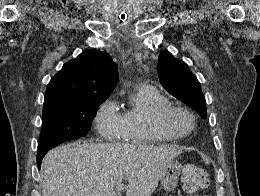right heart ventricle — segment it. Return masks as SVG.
<instances>
[{
	"instance_id": "1",
	"label": "right heart ventricle",
	"mask_w": 260,
	"mask_h": 196,
	"mask_svg": "<svg viewBox=\"0 0 260 196\" xmlns=\"http://www.w3.org/2000/svg\"><path fill=\"white\" fill-rule=\"evenodd\" d=\"M170 100L159 89L148 84H136L128 93V98L122 109V128L135 130L136 136L124 139L119 143H163L175 138L155 129L153 113L170 106ZM93 192H110V190H93Z\"/></svg>"
}]
</instances>
